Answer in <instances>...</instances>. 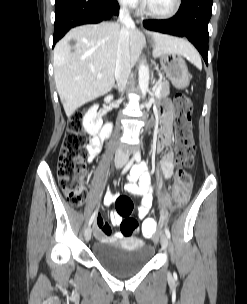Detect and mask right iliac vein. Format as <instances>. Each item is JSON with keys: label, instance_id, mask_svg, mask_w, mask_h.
I'll list each match as a JSON object with an SVG mask.
<instances>
[{"label": "right iliac vein", "instance_id": "right-iliac-vein-1", "mask_svg": "<svg viewBox=\"0 0 247 304\" xmlns=\"http://www.w3.org/2000/svg\"><path fill=\"white\" fill-rule=\"evenodd\" d=\"M118 167H121V165H119ZM84 237L87 242L91 239V228L90 227L86 228Z\"/></svg>", "mask_w": 247, "mask_h": 304}]
</instances>
